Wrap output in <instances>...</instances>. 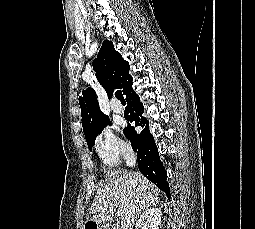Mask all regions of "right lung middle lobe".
Listing matches in <instances>:
<instances>
[{"instance_id": "dd1d6c3e", "label": "right lung middle lobe", "mask_w": 255, "mask_h": 229, "mask_svg": "<svg viewBox=\"0 0 255 229\" xmlns=\"http://www.w3.org/2000/svg\"><path fill=\"white\" fill-rule=\"evenodd\" d=\"M110 124L109 123V119H107L106 121H104L99 127L98 129L96 130V132L94 133V135L87 139V144H88V147L89 149L91 150L92 147L94 146V141L96 139V136L106 127V125Z\"/></svg>"}]
</instances>
